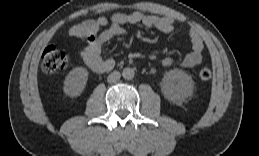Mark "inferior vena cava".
I'll use <instances>...</instances> for the list:
<instances>
[{
  "mask_svg": "<svg viewBox=\"0 0 259 156\" xmlns=\"http://www.w3.org/2000/svg\"><path fill=\"white\" fill-rule=\"evenodd\" d=\"M121 77L120 72L118 71H113L111 74H109V76L107 77V81L109 83H115L117 82Z\"/></svg>",
  "mask_w": 259,
  "mask_h": 156,
  "instance_id": "602c4592",
  "label": "inferior vena cava"
}]
</instances>
